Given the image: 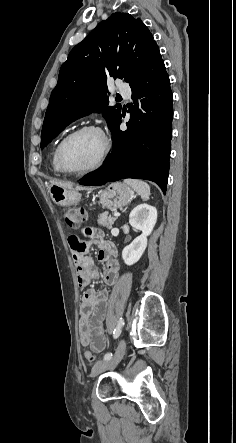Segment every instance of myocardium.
<instances>
[{"mask_svg":"<svg viewBox=\"0 0 236 443\" xmlns=\"http://www.w3.org/2000/svg\"><path fill=\"white\" fill-rule=\"evenodd\" d=\"M88 131L98 133L101 136V138H102L103 148H102V152L100 154V157H99L98 161L90 168L83 169V170H71L64 163V160H63V150H64L66 144L72 138H74L75 136H77V135H79V134H81L83 132H88ZM109 151H110V141H109V138L107 137L106 133L104 132V130L101 127H99L97 125H93V124L82 125V126L78 127L77 129H75V130L71 131L70 133H68L61 140V142H60V144L58 146V149H57V162H58V166L61 169V171L66 173V174L78 175V176L87 175V174H90V173H93V172L99 170L103 166V164H104V162H105V160H106V158H107V156L109 154Z\"/></svg>","mask_w":236,"mask_h":443,"instance_id":"obj_1","label":"myocardium"}]
</instances>
